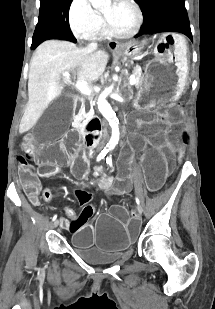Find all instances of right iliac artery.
Here are the masks:
<instances>
[{
    "label": "right iliac artery",
    "instance_id": "82829eb1",
    "mask_svg": "<svg viewBox=\"0 0 215 309\" xmlns=\"http://www.w3.org/2000/svg\"><path fill=\"white\" fill-rule=\"evenodd\" d=\"M107 152H108L107 149L102 150L101 153L97 157V161H100L101 159H103L106 156ZM56 218H57V215L53 217L52 221H55Z\"/></svg>",
    "mask_w": 215,
    "mask_h": 309
}]
</instances>
